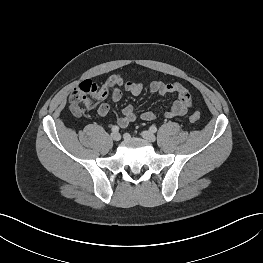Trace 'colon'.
Segmentation results:
<instances>
[{"instance_id":"obj_1","label":"colon","mask_w":263,"mask_h":263,"mask_svg":"<svg viewBox=\"0 0 263 263\" xmlns=\"http://www.w3.org/2000/svg\"><path fill=\"white\" fill-rule=\"evenodd\" d=\"M99 93V86L91 80L80 83L69 96V110L74 116H81L93 105ZM200 114L194 112L190 115L191 122H197Z\"/></svg>"}]
</instances>
